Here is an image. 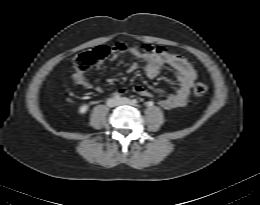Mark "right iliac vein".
I'll return each mask as SVG.
<instances>
[{
    "mask_svg": "<svg viewBox=\"0 0 260 205\" xmlns=\"http://www.w3.org/2000/svg\"><path fill=\"white\" fill-rule=\"evenodd\" d=\"M107 105H108L109 107H116L117 105H119V104H118V100L115 99V98H110V99H108V101H107Z\"/></svg>",
    "mask_w": 260,
    "mask_h": 205,
    "instance_id": "obj_1",
    "label": "right iliac vein"
}]
</instances>
